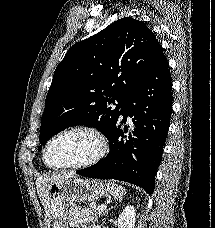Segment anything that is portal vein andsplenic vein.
<instances>
[{"label": "portal vein and splenic vein", "instance_id": "18ae733b", "mask_svg": "<svg viewBox=\"0 0 215 228\" xmlns=\"http://www.w3.org/2000/svg\"><path fill=\"white\" fill-rule=\"evenodd\" d=\"M107 206H98V208H96V206H94V208H92V210H101V212H103V210H106ZM87 210H91V208H87Z\"/></svg>", "mask_w": 215, "mask_h": 228}]
</instances>
